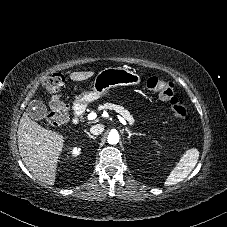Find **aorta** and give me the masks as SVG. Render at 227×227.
I'll use <instances>...</instances> for the list:
<instances>
[{"label": "aorta", "mask_w": 227, "mask_h": 227, "mask_svg": "<svg viewBox=\"0 0 227 227\" xmlns=\"http://www.w3.org/2000/svg\"><path fill=\"white\" fill-rule=\"evenodd\" d=\"M119 142V134L115 131H111L108 135V143L115 145Z\"/></svg>", "instance_id": "1"}]
</instances>
